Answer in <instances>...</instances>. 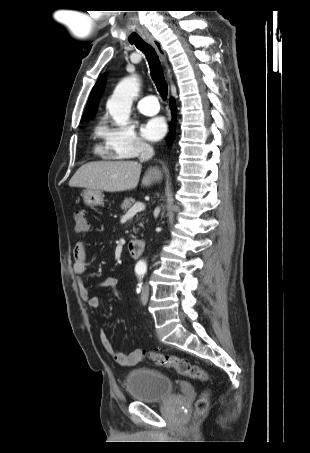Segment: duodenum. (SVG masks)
Wrapping results in <instances>:
<instances>
[{
	"label": "duodenum",
	"mask_w": 310,
	"mask_h": 453,
	"mask_svg": "<svg viewBox=\"0 0 310 453\" xmlns=\"http://www.w3.org/2000/svg\"><path fill=\"white\" fill-rule=\"evenodd\" d=\"M145 249V242L143 240H131L128 243V251L133 258H139Z\"/></svg>",
	"instance_id": "410a0bca"
}]
</instances>
